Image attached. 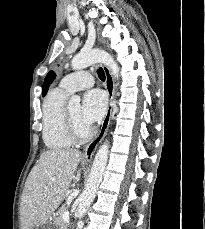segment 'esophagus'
<instances>
[{
    "label": "esophagus",
    "instance_id": "obj_1",
    "mask_svg": "<svg viewBox=\"0 0 205 229\" xmlns=\"http://www.w3.org/2000/svg\"><path fill=\"white\" fill-rule=\"evenodd\" d=\"M103 69L106 76V89L109 96V104H108L106 115L104 117V120L102 122V125L100 127L97 136L85 148L84 157L86 159L92 158L97 146L103 140L107 132L110 119H111V114H112V106H113V98H114V80L110 69L106 65L103 66Z\"/></svg>",
    "mask_w": 205,
    "mask_h": 229
}]
</instances>
